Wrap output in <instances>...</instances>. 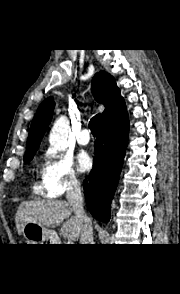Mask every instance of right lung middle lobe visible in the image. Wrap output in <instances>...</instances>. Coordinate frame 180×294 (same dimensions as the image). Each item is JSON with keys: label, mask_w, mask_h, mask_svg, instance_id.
<instances>
[{"label": "right lung middle lobe", "mask_w": 180, "mask_h": 294, "mask_svg": "<svg viewBox=\"0 0 180 294\" xmlns=\"http://www.w3.org/2000/svg\"><path fill=\"white\" fill-rule=\"evenodd\" d=\"M32 158H33V157L26 158V159H24V162L27 163V162H29L30 160H32Z\"/></svg>", "instance_id": "1"}]
</instances>
